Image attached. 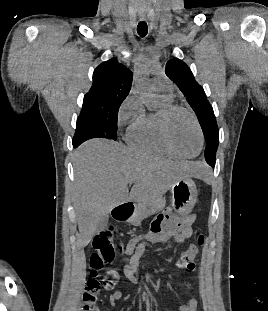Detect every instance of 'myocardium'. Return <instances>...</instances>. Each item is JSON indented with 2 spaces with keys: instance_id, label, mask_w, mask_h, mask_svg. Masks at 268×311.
<instances>
[{
  "instance_id": "f54148a6",
  "label": "myocardium",
  "mask_w": 268,
  "mask_h": 311,
  "mask_svg": "<svg viewBox=\"0 0 268 311\" xmlns=\"http://www.w3.org/2000/svg\"><path fill=\"white\" fill-rule=\"evenodd\" d=\"M177 112H183L185 114H187L191 120L193 121L198 134H199V138H200V146H199V150L196 154L194 155H189L186 154L184 152H182L173 142L171 135H170V120L172 118V116L177 113ZM160 131H161V135L163 137V140L165 141V143L167 144V146L177 155L185 157V158H194L197 157L204 146V134L201 128V125L197 119V117L195 116V114L189 110L188 108H185L183 106L180 105H176V104H169V105H165L162 107L161 112H160Z\"/></svg>"
}]
</instances>
